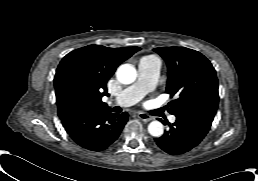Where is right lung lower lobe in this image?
<instances>
[{
	"mask_svg": "<svg viewBox=\"0 0 258 181\" xmlns=\"http://www.w3.org/2000/svg\"><path fill=\"white\" fill-rule=\"evenodd\" d=\"M62 124L79 146L102 151L120 135L128 120V114H112L109 108H86L59 115Z\"/></svg>",
	"mask_w": 258,
	"mask_h": 181,
	"instance_id": "98d812e1",
	"label": "right lung lower lobe"
}]
</instances>
